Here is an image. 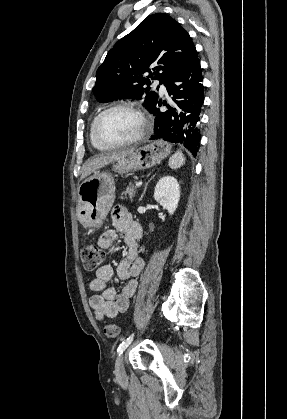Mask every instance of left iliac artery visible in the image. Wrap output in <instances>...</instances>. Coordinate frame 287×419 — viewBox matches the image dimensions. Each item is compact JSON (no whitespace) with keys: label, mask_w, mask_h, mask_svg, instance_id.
<instances>
[{"label":"left iliac artery","mask_w":287,"mask_h":419,"mask_svg":"<svg viewBox=\"0 0 287 419\" xmlns=\"http://www.w3.org/2000/svg\"><path fill=\"white\" fill-rule=\"evenodd\" d=\"M132 339H133V334H132V336L128 337L126 340H124L120 344V346L117 349V352H118L119 355L122 354L123 351L128 347V345L131 343Z\"/></svg>","instance_id":"obj_1"}]
</instances>
